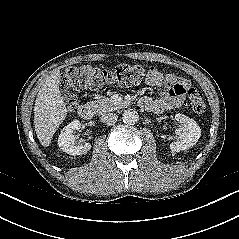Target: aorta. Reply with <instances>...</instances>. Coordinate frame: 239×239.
I'll return each instance as SVG.
<instances>
[{
    "label": "aorta",
    "instance_id": "1",
    "mask_svg": "<svg viewBox=\"0 0 239 239\" xmlns=\"http://www.w3.org/2000/svg\"><path fill=\"white\" fill-rule=\"evenodd\" d=\"M139 119L138 113L134 109H127L122 115V120L125 124L134 125Z\"/></svg>",
    "mask_w": 239,
    "mask_h": 239
}]
</instances>
